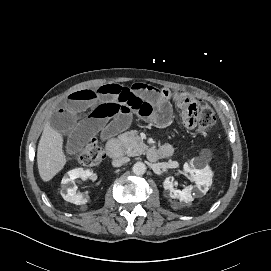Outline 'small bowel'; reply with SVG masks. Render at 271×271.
Masks as SVG:
<instances>
[{"mask_svg": "<svg viewBox=\"0 0 271 271\" xmlns=\"http://www.w3.org/2000/svg\"><path fill=\"white\" fill-rule=\"evenodd\" d=\"M170 99L169 90L143 83L131 87L107 84L78 90L55 111L49 131L62 135L67 153L73 154L98 132L106 137L127 129L133 115L165 125L172 112ZM82 114H85L83 118ZM159 150L163 156H168L173 149L170 145H163Z\"/></svg>", "mask_w": 271, "mask_h": 271, "instance_id": "1", "label": "small bowel"}]
</instances>
